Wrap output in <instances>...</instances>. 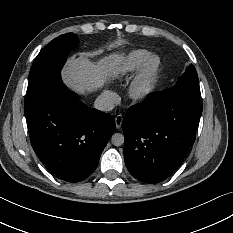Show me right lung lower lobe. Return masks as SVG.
Listing matches in <instances>:
<instances>
[{
  "mask_svg": "<svg viewBox=\"0 0 233 233\" xmlns=\"http://www.w3.org/2000/svg\"><path fill=\"white\" fill-rule=\"evenodd\" d=\"M24 113L36 155L51 174L71 183L94 172L115 129L114 116L84 105L61 78Z\"/></svg>",
  "mask_w": 233,
  "mask_h": 233,
  "instance_id": "right-lung-lower-lobe-1",
  "label": "right lung lower lobe"
}]
</instances>
